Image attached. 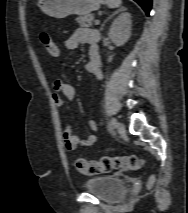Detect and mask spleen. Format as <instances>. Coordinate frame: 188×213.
<instances>
[{
	"mask_svg": "<svg viewBox=\"0 0 188 213\" xmlns=\"http://www.w3.org/2000/svg\"><path fill=\"white\" fill-rule=\"evenodd\" d=\"M122 0H106V4L109 8H117L121 5Z\"/></svg>",
	"mask_w": 188,
	"mask_h": 213,
	"instance_id": "1",
	"label": "spleen"
}]
</instances>
